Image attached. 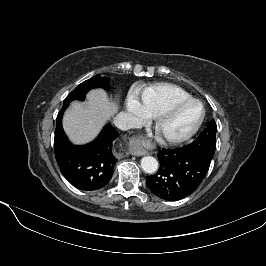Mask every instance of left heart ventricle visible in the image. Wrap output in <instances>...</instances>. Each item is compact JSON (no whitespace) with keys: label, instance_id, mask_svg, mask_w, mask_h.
<instances>
[{"label":"left heart ventricle","instance_id":"left-heart-ventricle-1","mask_svg":"<svg viewBox=\"0 0 266 266\" xmlns=\"http://www.w3.org/2000/svg\"><path fill=\"white\" fill-rule=\"evenodd\" d=\"M200 114L197 105L189 106L171 118L164 126V132L168 135H180L188 131L196 122Z\"/></svg>","mask_w":266,"mask_h":266}]
</instances>
